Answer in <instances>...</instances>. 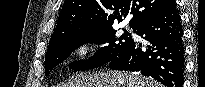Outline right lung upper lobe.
Instances as JSON below:
<instances>
[{
  "mask_svg": "<svg viewBox=\"0 0 205 87\" xmlns=\"http://www.w3.org/2000/svg\"><path fill=\"white\" fill-rule=\"evenodd\" d=\"M173 0H65L50 43L70 34L112 28L128 13L135 28L147 17L167 7Z\"/></svg>",
  "mask_w": 205,
  "mask_h": 87,
  "instance_id": "1",
  "label": "right lung upper lobe"
}]
</instances>
